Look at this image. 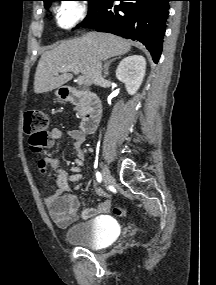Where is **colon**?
<instances>
[{
    "label": "colon",
    "instance_id": "obj_1",
    "mask_svg": "<svg viewBox=\"0 0 216 285\" xmlns=\"http://www.w3.org/2000/svg\"><path fill=\"white\" fill-rule=\"evenodd\" d=\"M49 117L41 110H30L24 116V133L29 139V146L33 152L45 148L48 140ZM116 216L124 217L126 209L118 206L113 209Z\"/></svg>",
    "mask_w": 216,
    "mask_h": 285
}]
</instances>
